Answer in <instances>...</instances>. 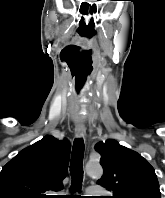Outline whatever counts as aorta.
<instances>
[{
    "mask_svg": "<svg viewBox=\"0 0 165 198\" xmlns=\"http://www.w3.org/2000/svg\"><path fill=\"white\" fill-rule=\"evenodd\" d=\"M86 173L89 176L100 177L103 174V169L100 164H87L86 165Z\"/></svg>",
    "mask_w": 165,
    "mask_h": 198,
    "instance_id": "1",
    "label": "aorta"
}]
</instances>
